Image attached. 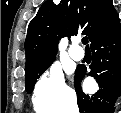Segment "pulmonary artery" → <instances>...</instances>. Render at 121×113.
<instances>
[{"mask_svg":"<svg viewBox=\"0 0 121 113\" xmlns=\"http://www.w3.org/2000/svg\"><path fill=\"white\" fill-rule=\"evenodd\" d=\"M70 57L75 61H80L84 57V52L76 44L71 45L69 49Z\"/></svg>","mask_w":121,"mask_h":113,"instance_id":"e3ab8cb5","label":"pulmonary artery"}]
</instances>
